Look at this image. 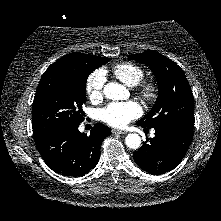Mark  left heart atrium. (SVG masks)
I'll list each match as a JSON object with an SVG mask.
<instances>
[{
  "mask_svg": "<svg viewBox=\"0 0 221 221\" xmlns=\"http://www.w3.org/2000/svg\"><path fill=\"white\" fill-rule=\"evenodd\" d=\"M142 114L140 105L135 101L112 102L100 111L103 122L113 127H124Z\"/></svg>",
  "mask_w": 221,
  "mask_h": 221,
  "instance_id": "left-heart-atrium-1",
  "label": "left heart atrium"
}]
</instances>
